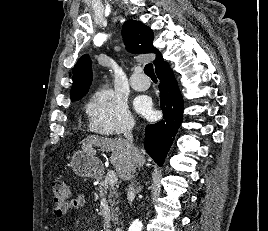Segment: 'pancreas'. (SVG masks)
Returning <instances> with one entry per match:
<instances>
[{"instance_id": "cf45deb5", "label": "pancreas", "mask_w": 268, "mask_h": 231, "mask_svg": "<svg viewBox=\"0 0 268 231\" xmlns=\"http://www.w3.org/2000/svg\"><path fill=\"white\" fill-rule=\"evenodd\" d=\"M97 190L99 191V195L101 197H108V202L111 208L112 221L114 222V224H118L117 212L119 208L117 207L118 201L116 199L119 197V193L117 191V188L114 185H110L105 179L99 183Z\"/></svg>"}]
</instances>
